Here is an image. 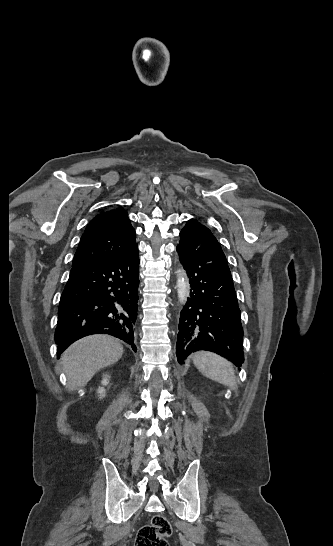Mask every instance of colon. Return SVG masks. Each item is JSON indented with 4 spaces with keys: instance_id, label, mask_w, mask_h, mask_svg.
<instances>
[{
    "instance_id": "1",
    "label": "colon",
    "mask_w": 333,
    "mask_h": 546,
    "mask_svg": "<svg viewBox=\"0 0 333 546\" xmlns=\"http://www.w3.org/2000/svg\"><path fill=\"white\" fill-rule=\"evenodd\" d=\"M171 531L169 520L163 515H155L150 525L139 529L135 546H168L166 538Z\"/></svg>"
}]
</instances>
